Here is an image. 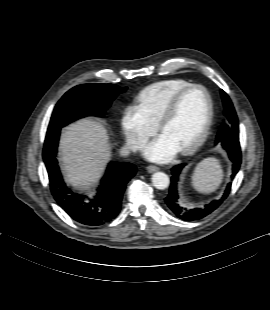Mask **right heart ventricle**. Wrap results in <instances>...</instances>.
Listing matches in <instances>:
<instances>
[{
	"instance_id": "obj_1",
	"label": "right heart ventricle",
	"mask_w": 270,
	"mask_h": 310,
	"mask_svg": "<svg viewBox=\"0 0 270 310\" xmlns=\"http://www.w3.org/2000/svg\"><path fill=\"white\" fill-rule=\"evenodd\" d=\"M191 85L182 79H170L153 83L138 94L139 105L143 108L148 118L157 125L158 120L173 96Z\"/></svg>"
}]
</instances>
